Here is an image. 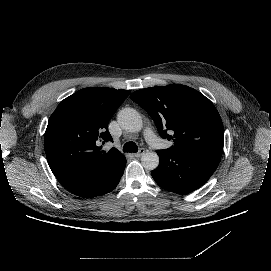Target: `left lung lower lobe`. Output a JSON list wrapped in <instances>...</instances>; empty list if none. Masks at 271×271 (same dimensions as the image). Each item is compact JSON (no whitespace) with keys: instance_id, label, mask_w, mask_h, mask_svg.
<instances>
[{"instance_id":"left-lung-lower-lobe-1","label":"left lung lower lobe","mask_w":271,"mask_h":271,"mask_svg":"<svg viewBox=\"0 0 271 271\" xmlns=\"http://www.w3.org/2000/svg\"><path fill=\"white\" fill-rule=\"evenodd\" d=\"M159 166L152 171L155 182L163 189L188 194L200 188L216 170L221 156L191 150L157 151Z\"/></svg>"}]
</instances>
